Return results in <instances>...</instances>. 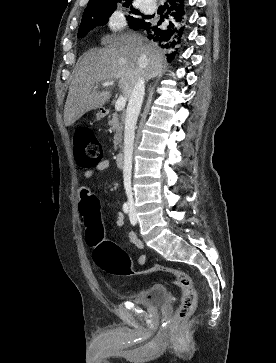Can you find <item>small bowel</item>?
Returning <instances> with one entry per match:
<instances>
[{
  "mask_svg": "<svg viewBox=\"0 0 276 363\" xmlns=\"http://www.w3.org/2000/svg\"><path fill=\"white\" fill-rule=\"evenodd\" d=\"M109 165H110L109 160L105 159V160L101 161L100 163H98L95 167L88 169L85 172V177L88 179L92 178L99 172L107 169L109 167ZM79 209H80L82 216L85 218V222L87 223V225H88L89 216L95 212H98V202H97L96 196L87 187H82L80 190ZM115 222L118 226H122L123 218H122L121 213L115 214ZM129 237H130L131 242L136 247H138V248L144 247L143 242L140 239H138L134 233H130ZM146 260H147L146 255H141L139 257L138 261H139V264L143 266L146 263Z\"/></svg>",
  "mask_w": 276,
  "mask_h": 363,
  "instance_id": "c3829d8e",
  "label": "small bowel"
}]
</instances>
